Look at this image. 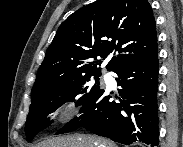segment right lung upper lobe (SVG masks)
I'll return each mask as SVG.
<instances>
[{
    "label": "right lung upper lobe",
    "mask_w": 183,
    "mask_h": 147,
    "mask_svg": "<svg viewBox=\"0 0 183 147\" xmlns=\"http://www.w3.org/2000/svg\"><path fill=\"white\" fill-rule=\"evenodd\" d=\"M106 68L158 54L156 23L147 0H97L71 14L59 27L32 90L53 82L101 74L103 60L113 51Z\"/></svg>",
    "instance_id": "obj_1"
}]
</instances>
